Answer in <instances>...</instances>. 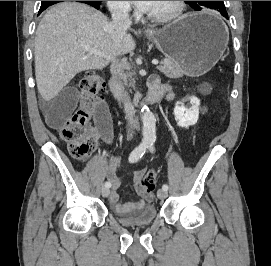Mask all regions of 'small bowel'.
I'll return each instance as SVG.
<instances>
[{"instance_id":"1","label":"small bowel","mask_w":271,"mask_h":266,"mask_svg":"<svg viewBox=\"0 0 271 266\" xmlns=\"http://www.w3.org/2000/svg\"><path fill=\"white\" fill-rule=\"evenodd\" d=\"M167 89V87H166ZM168 90V89H167ZM172 93L168 94V98H172ZM78 95L74 88L67 87L58 93L52 100L43 104L48 123L53 127H58L63 119L73 110ZM95 138H101L106 142L112 140V121L108 109L105 105H101L95 117V126L91 129ZM146 173V169H140L133 173L132 180L134 182L135 191L140 197L136 201L123 203L120 201L119 187L120 180L117 175V168L111 167L107 173V177L112 184L109 201L113 209L119 213H127L132 211H141L146 203L152 202L154 195L152 192L145 191L140 186V180Z\"/></svg>"}]
</instances>
